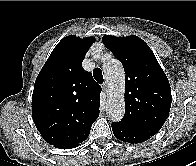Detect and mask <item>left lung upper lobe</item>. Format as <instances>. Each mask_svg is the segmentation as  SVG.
Instances as JSON below:
<instances>
[{
	"instance_id": "1",
	"label": "left lung upper lobe",
	"mask_w": 196,
	"mask_h": 166,
	"mask_svg": "<svg viewBox=\"0 0 196 166\" xmlns=\"http://www.w3.org/2000/svg\"><path fill=\"white\" fill-rule=\"evenodd\" d=\"M124 67L125 115L120 121L129 129L155 135L171 107L169 81L149 46L137 36L102 38Z\"/></svg>"
}]
</instances>
